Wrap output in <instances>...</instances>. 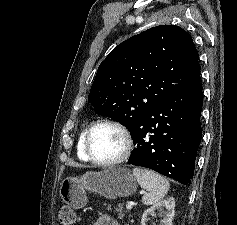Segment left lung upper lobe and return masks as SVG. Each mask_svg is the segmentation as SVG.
I'll return each mask as SVG.
<instances>
[{
	"mask_svg": "<svg viewBox=\"0 0 237 225\" xmlns=\"http://www.w3.org/2000/svg\"><path fill=\"white\" fill-rule=\"evenodd\" d=\"M200 83L191 36L174 25L150 28L120 43L100 64L88 101L131 132L156 104Z\"/></svg>",
	"mask_w": 237,
	"mask_h": 225,
	"instance_id": "obj_1",
	"label": "left lung upper lobe"
}]
</instances>
